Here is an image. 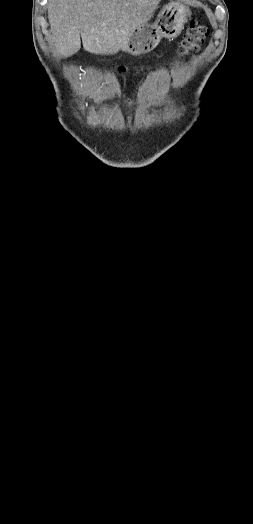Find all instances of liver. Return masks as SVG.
<instances>
[{
  "label": "liver",
  "instance_id": "6515ba94",
  "mask_svg": "<svg viewBox=\"0 0 253 524\" xmlns=\"http://www.w3.org/2000/svg\"><path fill=\"white\" fill-rule=\"evenodd\" d=\"M160 0H50L51 42L60 57L81 48L100 55L114 54L132 32L144 25Z\"/></svg>",
  "mask_w": 253,
  "mask_h": 524
}]
</instances>
